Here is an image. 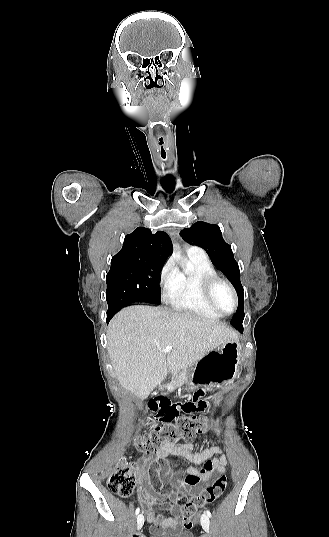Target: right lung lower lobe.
<instances>
[{
	"mask_svg": "<svg viewBox=\"0 0 329 537\" xmlns=\"http://www.w3.org/2000/svg\"><path fill=\"white\" fill-rule=\"evenodd\" d=\"M113 317L112 314H107V323L109 322V320Z\"/></svg>",
	"mask_w": 329,
	"mask_h": 537,
	"instance_id": "obj_1",
	"label": "right lung lower lobe"
}]
</instances>
